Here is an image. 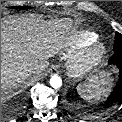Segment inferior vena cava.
Instances as JSON below:
<instances>
[{"mask_svg": "<svg viewBox=\"0 0 122 122\" xmlns=\"http://www.w3.org/2000/svg\"><path fill=\"white\" fill-rule=\"evenodd\" d=\"M49 66V60L45 59L41 62H38L37 64L34 65V67L32 68V71L34 73H41L43 72L46 68H48Z\"/></svg>", "mask_w": 122, "mask_h": 122, "instance_id": "1", "label": "inferior vena cava"}]
</instances>
